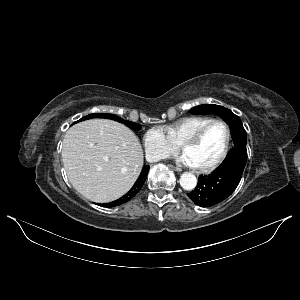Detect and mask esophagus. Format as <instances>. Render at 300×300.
Segmentation results:
<instances>
[{
    "label": "esophagus",
    "instance_id": "obj_1",
    "mask_svg": "<svg viewBox=\"0 0 300 300\" xmlns=\"http://www.w3.org/2000/svg\"><path fill=\"white\" fill-rule=\"evenodd\" d=\"M169 167H170L171 169L177 171V172L182 171V169H181L180 167H177V166H174V165H170Z\"/></svg>",
    "mask_w": 300,
    "mask_h": 300
}]
</instances>
